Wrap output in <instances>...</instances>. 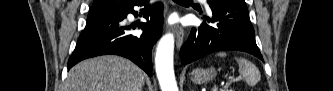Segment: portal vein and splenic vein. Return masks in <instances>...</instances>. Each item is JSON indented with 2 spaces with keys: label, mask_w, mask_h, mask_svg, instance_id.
Returning <instances> with one entry per match:
<instances>
[{
  "label": "portal vein and splenic vein",
  "mask_w": 333,
  "mask_h": 91,
  "mask_svg": "<svg viewBox=\"0 0 333 91\" xmlns=\"http://www.w3.org/2000/svg\"><path fill=\"white\" fill-rule=\"evenodd\" d=\"M228 87H229V85H228V84H225V85H224V88H225V89H226V88H228Z\"/></svg>",
  "instance_id": "obj_1"
}]
</instances>
